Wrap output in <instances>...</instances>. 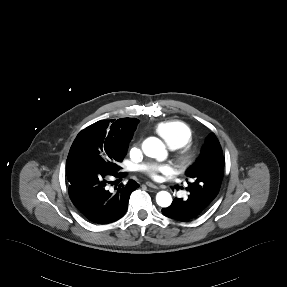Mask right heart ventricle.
<instances>
[{
  "instance_id": "right-heart-ventricle-1",
  "label": "right heart ventricle",
  "mask_w": 287,
  "mask_h": 287,
  "mask_svg": "<svg viewBox=\"0 0 287 287\" xmlns=\"http://www.w3.org/2000/svg\"><path fill=\"white\" fill-rule=\"evenodd\" d=\"M155 132L172 150L180 149L188 145L192 140L190 126L181 120L160 122L155 126Z\"/></svg>"
}]
</instances>
